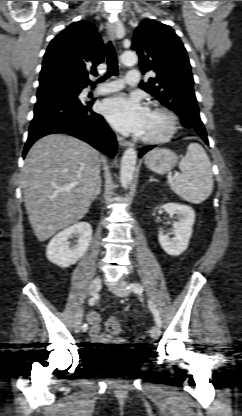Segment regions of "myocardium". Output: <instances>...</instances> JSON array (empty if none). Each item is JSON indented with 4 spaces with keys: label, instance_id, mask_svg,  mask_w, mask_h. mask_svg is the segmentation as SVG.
<instances>
[{
    "label": "myocardium",
    "instance_id": "obj_1",
    "mask_svg": "<svg viewBox=\"0 0 242 416\" xmlns=\"http://www.w3.org/2000/svg\"><path fill=\"white\" fill-rule=\"evenodd\" d=\"M150 111L160 113L166 118V127L164 131L156 136L150 137H139V139L146 144H159L169 140L177 129V116L176 114L168 107L162 105H154L151 107Z\"/></svg>",
    "mask_w": 242,
    "mask_h": 416
}]
</instances>
